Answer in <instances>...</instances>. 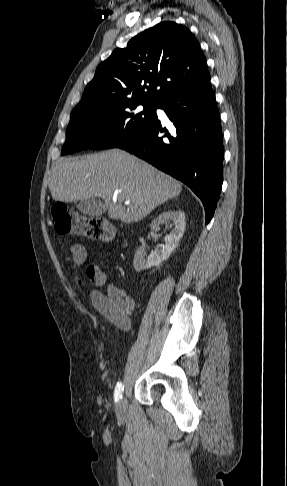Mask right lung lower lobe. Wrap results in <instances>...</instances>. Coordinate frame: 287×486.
I'll list each match as a JSON object with an SVG mask.
<instances>
[{"instance_id":"1","label":"right lung lower lobe","mask_w":287,"mask_h":486,"mask_svg":"<svg viewBox=\"0 0 287 486\" xmlns=\"http://www.w3.org/2000/svg\"><path fill=\"white\" fill-rule=\"evenodd\" d=\"M168 129L155 115L124 149L182 181L201 199L206 224L213 217L223 181L222 129L215 93L208 82L163 99Z\"/></svg>"}]
</instances>
